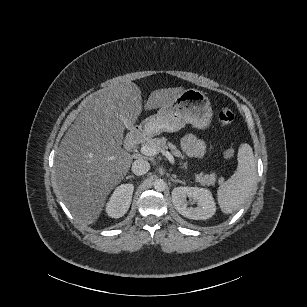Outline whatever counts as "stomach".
Masks as SVG:
<instances>
[{
	"instance_id": "stomach-1",
	"label": "stomach",
	"mask_w": 307,
	"mask_h": 307,
	"mask_svg": "<svg viewBox=\"0 0 307 307\" xmlns=\"http://www.w3.org/2000/svg\"><path fill=\"white\" fill-rule=\"evenodd\" d=\"M211 105L203 92L189 88L183 90L168 105L161 106L156 114L140 123L141 130L150 136L163 132H177L186 124L204 128L211 119Z\"/></svg>"
}]
</instances>
